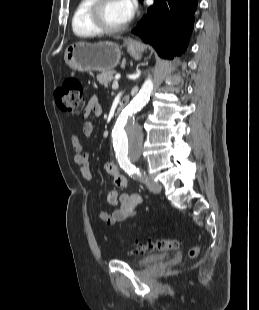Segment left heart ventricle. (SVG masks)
<instances>
[{"label": "left heart ventricle", "mask_w": 259, "mask_h": 310, "mask_svg": "<svg viewBox=\"0 0 259 310\" xmlns=\"http://www.w3.org/2000/svg\"><path fill=\"white\" fill-rule=\"evenodd\" d=\"M102 19L109 27H119L127 22L119 0H109L105 4Z\"/></svg>", "instance_id": "1"}]
</instances>
